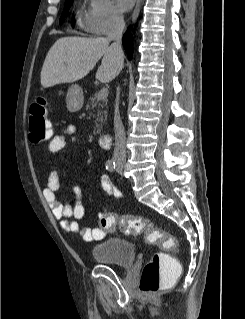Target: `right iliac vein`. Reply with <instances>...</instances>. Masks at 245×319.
Listing matches in <instances>:
<instances>
[{
    "instance_id": "63e3f726",
    "label": "right iliac vein",
    "mask_w": 245,
    "mask_h": 319,
    "mask_svg": "<svg viewBox=\"0 0 245 319\" xmlns=\"http://www.w3.org/2000/svg\"><path fill=\"white\" fill-rule=\"evenodd\" d=\"M124 168H125V164L124 163H118V165H117V170L118 171H123Z\"/></svg>"
}]
</instances>
